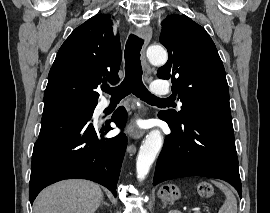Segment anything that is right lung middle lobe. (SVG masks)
I'll use <instances>...</instances> for the list:
<instances>
[{
  "label": "right lung middle lobe",
  "mask_w": 270,
  "mask_h": 213,
  "mask_svg": "<svg viewBox=\"0 0 270 213\" xmlns=\"http://www.w3.org/2000/svg\"><path fill=\"white\" fill-rule=\"evenodd\" d=\"M96 103L63 101L44 106L43 117L50 115H74L91 119Z\"/></svg>",
  "instance_id": "dd1d6c3e"
}]
</instances>
